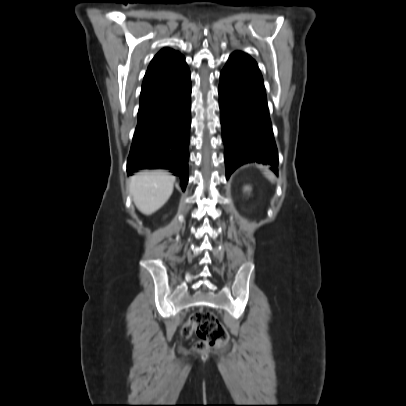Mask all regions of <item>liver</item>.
<instances>
[{"label":"liver","instance_id":"liver-1","mask_svg":"<svg viewBox=\"0 0 406 406\" xmlns=\"http://www.w3.org/2000/svg\"><path fill=\"white\" fill-rule=\"evenodd\" d=\"M174 177L166 171H143L130 179V193L137 208L145 215L160 209L173 192Z\"/></svg>","mask_w":406,"mask_h":406}]
</instances>
